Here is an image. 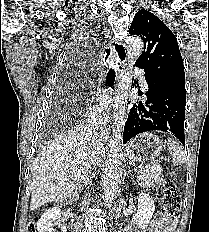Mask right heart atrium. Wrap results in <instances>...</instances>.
<instances>
[{
  "mask_svg": "<svg viewBox=\"0 0 209 232\" xmlns=\"http://www.w3.org/2000/svg\"><path fill=\"white\" fill-rule=\"evenodd\" d=\"M85 118L87 121L95 123L101 120L102 115L98 108L91 106L88 108Z\"/></svg>",
  "mask_w": 209,
  "mask_h": 232,
  "instance_id": "right-heart-atrium-1",
  "label": "right heart atrium"
}]
</instances>
